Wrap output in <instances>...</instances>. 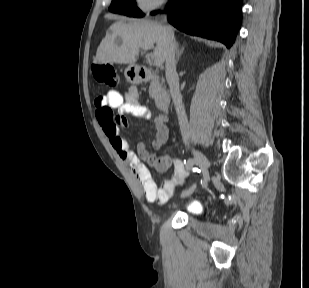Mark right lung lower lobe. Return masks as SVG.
Returning <instances> with one entry per match:
<instances>
[{
  "label": "right lung lower lobe",
  "instance_id": "1",
  "mask_svg": "<svg viewBox=\"0 0 309 288\" xmlns=\"http://www.w3.org/2000/svg\"><path fill=\"white\" fill-rule=\"evenodd\" d=\"M168 21L191 35L215 39L228 48L241 23V0H169Z\"/></svg>",
  "mask_w": 309,
  "mask_h": 288
}]
</instances>
